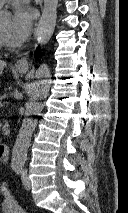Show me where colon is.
<instances>
[{
	"mask_svg": "<svg viewBox=\"0 0 128 213\" xmlns=\"http://www.w3.org/2000/svg\"><path fill=\"white\" fill-rule=\"evenodd\" d=\"M0 193L4 197V201L10 211V213H27L22 207L17 203V201L13 198L11 193L9 192L6 185H0Z\"/></svg>",
	"mask_w": 128,
	"mask_h": 213,
	"instance_id": "obj_1",
	"label": "colon"
}]
</instances>
